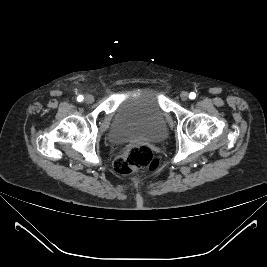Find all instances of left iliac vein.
<instances>
[{"instance_id":"1","label":"left iliac vein","mask_w":267,"mask_h":267,"mask_svg":"<svg viewBox=\"0 0 267 267\" xmlns=\"http://www.w3.org/2000/svg\"><path fill=\"white\" fill-rule=\"evenodd\" d=\"M180 98H181L182 101H187L188 98H189V94L187 92L183 91L180 94Z\"/></svg>"}]
</instances>
